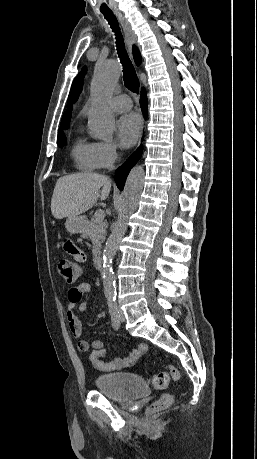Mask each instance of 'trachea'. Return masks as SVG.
<instances>
[{
  "label": "trachea",
  "instance_id": "trachea-1",
  "mask_svg": "<svg viewBox=\"0 0 257 459\" xmlns=\"http://www.w3.org/2000/svg\"><path fill=\"white\" fill-rule=\"evenodd\" d=\"M102 14L104 15L105 19L110 24L113 32H115L117 53L119 55L120 61L123 66L124 84L130 91L134 93H138L139 79L137 77L135 68L132 65V62L129 59V56L126 52L123 36L120 33L119 24L117 22V19L115 18L114 14L111 11H102Z\"/></svg>",
  "mask_w": 257,
  "mask_h": 459
}]
</instances>
